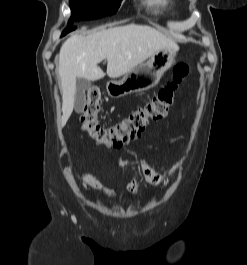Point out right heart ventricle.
I'll use <instances>...</instances> for the list:
<instances>
[{
    "mask_svg": "<svg viewBox=\"0 0 247 265\" xmlns=\"http://www.w3.org/2000/svg\"><path fill=\"white\" fill-rule=\"evenodd\" d=\"M149 5L156 9H163L169 6V0H146Z\"/></svg>",
    "mask_w": 247,
    "mask_h": 265,
    "instance_id": "1",
    "label": "right heart ventricle"
}]
</instances>
